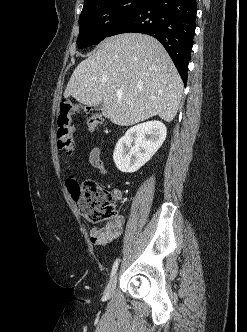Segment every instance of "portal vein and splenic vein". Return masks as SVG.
<instances>
[{
    "label": "portal vein and splenic vein",
    "instance_id": "18ae733b",
    "mask_svg": "<svg viewBox=\"0 0 247 332\" xmlns=\"http://www.w3.org/2000/svg\"><path fill=\"white\" fill-rule=\"evenodd\" d=\"M116 95L117 96H122L123 95V91L121 89H117L116 90Z\"/></svg>",
    "mask_w": 247,
    "mask_h": 332
}]
</instances>
